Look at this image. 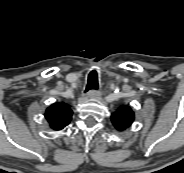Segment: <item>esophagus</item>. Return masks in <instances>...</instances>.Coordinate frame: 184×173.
<instances>
[{
    "instance_id": "obj_1",
    "label": "esophagus",
    "mask_w": 184,
    "mask_h": 173,
    "mask_svg": "<svg viewBox=\"0 0 184 173\" xmlns=\"http://www.w3.org/2000/svg\"><path fill=\"white\" fill-rule=\"evenodd\" d=\"M101 93L99 91L91 90L86 93L87 98H99Z\"/></svg>"
}]
</instances>
